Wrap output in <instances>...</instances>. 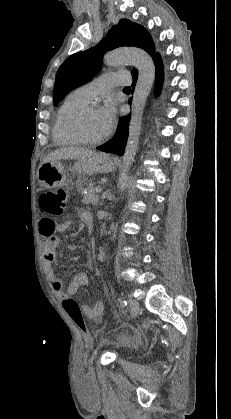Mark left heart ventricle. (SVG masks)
I'll return each mask as SVG.
<instances>
[{"instance_id": "1", "label": "left heart ventricle", "mask_w": 231, "mask_h": 419, "mask_svg": "<svg viewBox=\"0 0 231 419\" xmlns=\"http://www.w3.org/2000/svg\"><path fill=\"white\" fill-rule=\"evenodd\" d=\"M79 128L89 138H96L104 135L106 129L96 108L88 111L79 121Z\"/></svg>"}]
</instances>
